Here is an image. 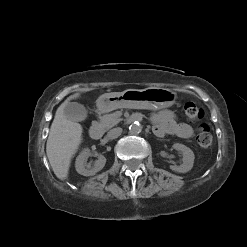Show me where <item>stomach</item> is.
<instances>
[{
    "label": "stomach",
    "instance_id": "stomach-1",
    "mask_svg": "<svg viewBox=\"0 0 247 247\" xmlns=\"http://www.w3.org/2000/svg\"><path fill=\"white\" fill-rule=\"evenodd\" d=\"M176 99L177 94L166 88L128 89L101 95L97 99V108L100 112L117 108L163 109L171 107Z\"/></svg>",
    "mask_w": 247,
    "mask_h": 247
}]
</instances>
